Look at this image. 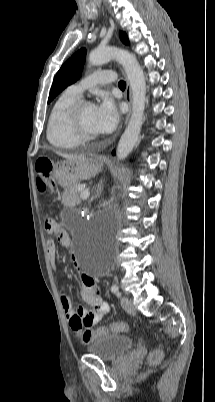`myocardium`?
<instances>
[{"label": "myocardium", "mask_w": 215, "mask_h": 402, "mask_svg": "<svg viewBox=\"0 0 215 402\" xmlns=\"http://www.w3.org/2000/svg\"><path fill=\"white\" fill-rule=\"evenodd\" d=\"M92 104L91 102L80 99L75 102L68 113V125L72 134L80 141L86 142L97 138V134H90L86 132L81 124V112L86 105Z\"/></svg>", "instance_id": "myocardium-1"}]
</instances>
